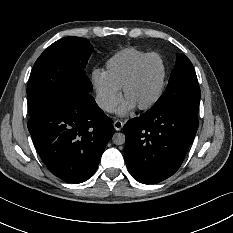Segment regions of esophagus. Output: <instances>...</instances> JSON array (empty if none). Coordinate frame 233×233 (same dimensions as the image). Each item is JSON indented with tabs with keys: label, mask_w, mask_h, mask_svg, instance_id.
<instances>
[{
	"label": "esophagus",
	"mask_w": 233,
	"mask_h": 233,
	"mask_svg": "<svg viewBox=\"0 0 233 233\" xmlns=\"http://www.w3.org/2000/svg\"><path fill=\"white\" fill-rule=\"evenodd\" d=\"M113 125L115 130L120 131L123 127V122L121 120H116Z\"/></svg>",
	"instance_id": "1"
}]
</instances>
